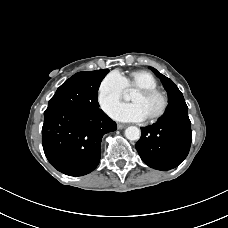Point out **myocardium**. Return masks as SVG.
<instances>
[{
	"mask_svg": "<svg viewBox=\"0 0 228 228\" xmlns=\"http://www.w3.org/2000/svg\"><path fill=\"white\" fill-rule=\"evenodd\" d=\"M135 92L145 97L158 96L161 99V107L159 111L151 117L147 118L149 122H155L164 116L169 106V97L166 92L158 88H138L135 90Z\"/></svg>",
	"mask_w": 228,
	"mask_h": 228,
	"instance_id": "obj_1",
	"label": "myocardium"
}]
</instances>
